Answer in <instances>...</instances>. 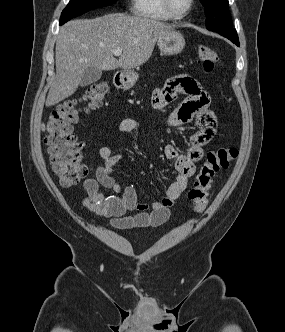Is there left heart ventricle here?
<instances>
[{
  "mask_svg": "<svg viewBox=\"0 0 285 332\" xmlns=\"http://www.w3.org/2000/svg\"><path fill=\"white\" fill-rule=\"evenodd\" d=\"M174 8L178 12H183L187 9L189 5V0H171Z\"/></svg>",
  "mask_w": 285,
  "mask_h": 332,
  "instance_id": "1",
  "label": "left heart ventricle"
}]
</instances>
